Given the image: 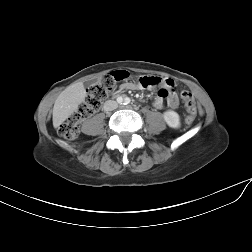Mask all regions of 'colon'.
<instances>
[{
	"instance_id": "obj_1",
	"label": "colon",
	"mask_w": 252,
	"mask_h": 252,
	"mask_svg": "<svg viewBox=\"0 0 252 252\" xmlns=\"http://www.w3.org/2000/svg\"><path fill=\"white\" fill-rule=\"evenodd\" d=\"M130 73L125 70H117L102 76L93 84L87 93L84 101L69 116V118L59 127V135L65 139L72 140L79 134V123L86 117L96 112L102 101L112 94L117 87L129 80ZM137 81L144 87H151L155 83L148 76H139ZM181 99L188 112L187 123L193 122L196 116V103L193 95L189 91L181 93Z\"/></svg>"
}]
</instances>
